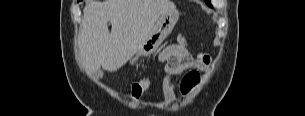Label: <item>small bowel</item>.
Listing matches in <instances>:
<instances>
[{
    "instance_id": "small-bowel-1",
    "label": "small bowel",
    "mask_w": 305,
    "mask_h": 116,
    "mask_svg": "<svg viewBox=\"0 0 305 116\" xmlns=\"http://www.w3.org/2000/svg\"><path fill=\"white\" fill-rule=\"evenodd\" d=\"M159 61L165 65V77L162 83L165 100L168 103H174L176 101L174 77L185 70L196 72L195 78L189 79L185 75L180 83V93L183 96H188L199 84L201 76L198 71L208 68L210 57L203 53L193 56L186 43H178L166 47L160 54Z\"/></svg>"
}]
</instances>
